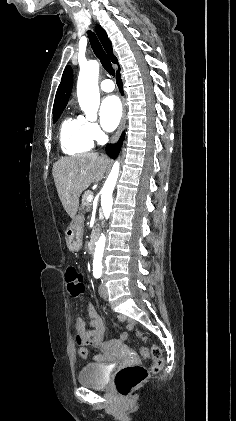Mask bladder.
<instances>
[{"label": "bladder", "instance_id": "31cf9c89", "mask_svg": "<svg viewBox=\"0 0 236 421\" xmlns=\"http://www.w3.org/2000/svg\"><path fill=\"white\" fill-rule=\"evenodd\" d=\"M78 383L86 387H92L95 389H104L106 381L103 373L100 371L98 365L88 363L85 364L78 372Z\"/></svg>", "mask_w": 236, "mask_h": 421}]
</instances>
